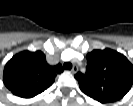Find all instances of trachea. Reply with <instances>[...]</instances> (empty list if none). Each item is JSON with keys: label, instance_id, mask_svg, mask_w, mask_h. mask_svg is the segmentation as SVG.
Listing matches in <instances>:
<instances>
[{"label": "trachea", "instance_id": "1", "mask_svg": "<svg viewBox=\"0 0 133 106\" xmlns=\"http://www.w3.org/2000/svg\"><path fill=\"white\" fill-rule=\"evenodd\" d=\"M63 68H64V69L70 70V69L72 68V64H71L70 62H65V63L63 64Z\"/></svg>", "mask_w": 133, "mask_h": 106}]
</instances>
